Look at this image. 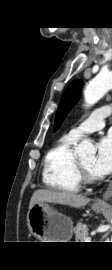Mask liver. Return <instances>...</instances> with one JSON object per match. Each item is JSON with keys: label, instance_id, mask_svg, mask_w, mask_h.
Wrapping results in <instances>:
<instances>
[{"label": "liver", "instance_id": "1", "mask_svg": "<svg viewBox=\"0 0 112 270\" xmlns=\"http://www.w3.org/2000/svg\"><path fill=\"white\" fill-rule=\"evenodd\" d=\"M49 202L81 208L90 202V198L66 191H54L47 189L36 190L30 200L29 209L36 203Z\"/></svg>", "mask_w": 112, "mask_h": 270}]
</instances>
